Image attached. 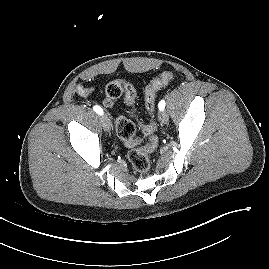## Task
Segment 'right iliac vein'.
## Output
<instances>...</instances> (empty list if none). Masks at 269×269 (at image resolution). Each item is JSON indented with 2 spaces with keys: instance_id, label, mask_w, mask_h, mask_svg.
Returning <instances> with one entry per match:
<instances>
[{
  "instance_id": "63e3f726",
  "label": "right iliac vein",
  "mask_w": 269,
  "mask_h": 269,
  "mask_svg": "<svg viewBox=\"0 0 269 269\" xmlns=\"http://www.w3.org/2000/svg\"><path fill=\"white\" fill-rule=\"evenodd\" d=\"M101 123H102V126H103L105 131H110V129H111V121H110V119L108 118L107 115H103L101 117Z\"/></svg>"
}]
</instances>
